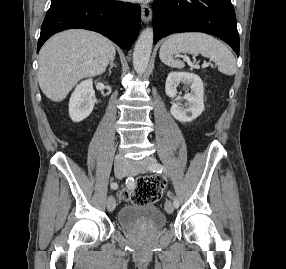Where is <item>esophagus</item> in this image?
<instances>
[{
    "label": "esophagus",
    "mask_w": 286,
    "mask_h": 269,
    "mask_svg": "<svg viewBox=\"0 0 286 269\" xmlns=\"http://www.w3.org/2000/svg\"><path fill=\"white\" fill-rule=\"evenodd\" d=\"M141 18L144 23H149L152 19V8L150 5H143L141 7Z\"/></svg>",
    "instance_id": "esophagus-1"
}]
</instances>
